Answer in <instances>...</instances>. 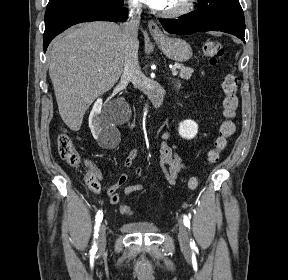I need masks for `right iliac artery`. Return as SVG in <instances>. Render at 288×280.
<instances>
[{
  "instance_id": "obj_1",
  "label": "right iliac artery",
  "mask_w": 288,
  "mask_h": 280,
  "mask_svg": "<svg viewBox=\"0 0 288 280\" xmlns=\"http://www.w3.org/2000/svg\"><path fill=\"white\" fill-rule=\"evenodd\" d=\"M103 219V212L102 210H98L97 215H96V219H95V227H94V242H93V246L92 249L90 251L91 255H95L96 251H97V244H96V240L98 238V231L101 225Z\"/></svg>"
}]
</instances>
